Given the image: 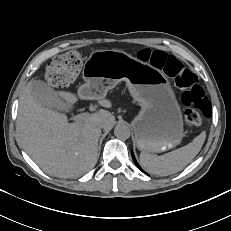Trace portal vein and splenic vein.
I'll return each mask as SVG.
<instances>
[{
    "label": "portal vein and splenic vein",
    "mask_w": 231,
    "mask_h": 231,
    "mask_svg": "<svg viewBox=\"0 0 231 231\" xmlns=\"http://www.w3.org/2000/svg\"><path fill=\"white\" fill-rule=\"evenodd\" d=\"M89 116V113H82V114H78L74 117L75 121H82L84 119H86Z\"/></svg>",
    "instance_id": "portal-vein-and-splenic-vein-1"
}]
</instances>
